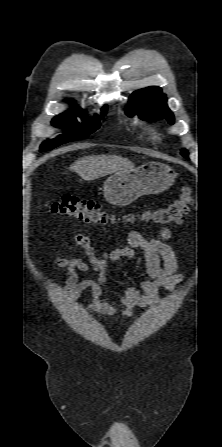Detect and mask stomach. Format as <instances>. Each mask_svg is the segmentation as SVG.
Wrapping results in <instances>:
<instances>
[{
  "label": "stomach",
  "mask_w": 222,
  "mask_h": 447,
  "mask_svg": "<svg viewBox=\"0 0 222 447\" xmlns=\"http://www.w3.org/2000/svg\"><path fill=\"white\" fill-rule=\"evenodd\" d=\"M176 177L177 174L169 165L149 162L138 168L115 172L104 182L103 194L109 203L126 206L142 195L167 190Z\"/></svg>",
  "instance_id": "1"
}]
</instances>
